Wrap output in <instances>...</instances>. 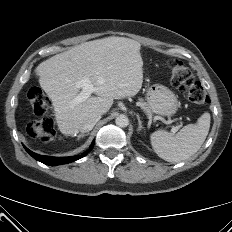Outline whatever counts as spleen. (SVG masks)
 <instances>
[{
    "label": "spleen",
    "mask_w": 232,
    "mask_h": 232,
    "mask_svg": "<svg viewBox=\"0 0 232 232\" xmlns=\"http://www.w3.org/2000/svg\"><path fill=\"white\" fill-rule=\"evenodd\" d=\"M210 128V114L201 115L197 124L184 126L175 136L164 130L151 134L155 153L168 162H180L194 155L204 143Z\"/></svg>",
    "instance_id": "1"
}]
</instances>
